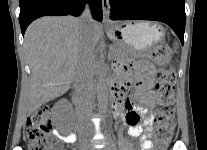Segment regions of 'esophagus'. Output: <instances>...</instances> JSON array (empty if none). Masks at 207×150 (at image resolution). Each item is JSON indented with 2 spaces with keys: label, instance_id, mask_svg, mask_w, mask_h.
<instances>
[{
  "label": "esophagus",
  "instance_id": "34e87169",
  "mask_svg": "<svg viewBox=\"0 0 207 150\" xmlns=\"http://www.w3.org/2000/svg\"><path fill=\"white\" fill-rule=\"evenodd\" d=\"M103 23L110 24V7L109 0H102Z\"/></svg>",
  "mask_w": 207,
  "mask_h": 150
}]
</instances>
